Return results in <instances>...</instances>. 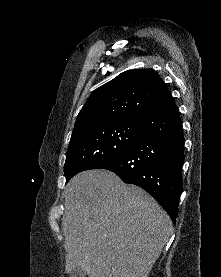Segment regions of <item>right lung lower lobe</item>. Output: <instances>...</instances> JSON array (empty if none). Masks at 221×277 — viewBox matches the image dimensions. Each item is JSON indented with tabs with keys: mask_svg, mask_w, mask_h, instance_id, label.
Masks as SVG:
<instances>
[{
	"mask_svg": "<svg viewBox=\"0 0 221 277\" xmlns=\"http://www.w3.org/2000/svg\"><path fill=\"white\" fill-rule=\"evenodd\" d=\"M137 126L138 134L128 151L101 169L143 188L175 223L182 189L184 136L173 99L140 117Z\"/></svg>",
	"mask_w": 221,
	"mask_h": 277,
	"instance_id": "right-lung-lower-lobe-1",
	"label": "right lung lower lobe"
}]
</instances>
